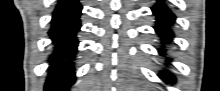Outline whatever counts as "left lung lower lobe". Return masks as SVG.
Returning a JSON list of instances; mask_svg holds the SVG:
<instances>
[{
    "label": "left lung lower lobe",
    "mask_w": 220,
    "mask_h": 91,
    "mask_svg": "<svg viewBox=\"0 0 220 91\" xmlns=\"http://www.w3.org/2000/svg\"><path fill=\"white\" fill-rule=\"evenodd\" d=\"M153 14L156 15V33L161 37L162 43H171L172 38L174 37V34L171 29V25L174 24L175 16L172 12H170L169 9L162 3V1H159L158 4H156L152 8ZM159 53L163 56H165V49H159ZM171 61V58H167L165 61L166 65H169ZM159 77L166 83L173 84L175 82V78L168 70H162L160 72Z\"/></svg>",
    "instance_id": "obj_1"
}]
</instances>
